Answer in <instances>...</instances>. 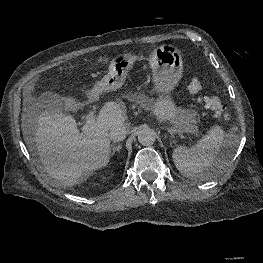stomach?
I'll return each mask as SVG.
<instances>
[{
    "instance_id": "0dacf381",
    "label": "stomach",
    "mask_w": 263,
    "mask_h": 263,
    "mask_svg": "<svg viewBox=\"0 0 263 263\" xmlns=\"http://www.w3.org/2000/svg\"><path fill=\"white\" fill-rule=\"evenodd\" d=\"M138 57L131 53L119 54L109 64V72L93 89L101 88L103 92L120 88ZM153 82L159 97L154 101L152 111L160 122H170L171 134L195 132L196 115L189 110L178 108L170 93L182 77L183 59L181 51L172 44H163L155 48L149 58Z\"/></svg>"
}]
</instances>
